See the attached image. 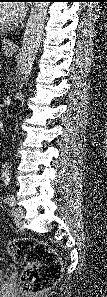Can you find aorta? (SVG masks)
Here are the masks:
<instances>
[{"label": "aorta", "mask_w": 107, "mask_h": 297, "mask_svg": "<svg viewBox=\"0 0 107 297\" xmlns=\"http://www.w3.org/2000/svg\"><path fill=\"white\" fill-rule=\"evenodd\" d=\"M48 6V2H35L31 7L22 41V53L19 65L24 82H27L29 79L42 41Z\"/></svg>", "instance_id": "obj_1"}]
</instances>
